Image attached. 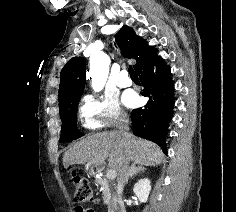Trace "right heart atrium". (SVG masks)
I'll return each mask as SVG.
<instances>
[{
  "label": "right heart atrium",
  "instance_id": "1",
  "mask_svg": "<svg viewBox=\"0 0 236 212\" xmlns=\"http://www.w3.org/2000/svg\"><path fill=\"white\" fill-rule=\"evenodd\" d=\"M79 117L86 129H103L117 126L127 115L114 96H85L79 105Z\"/></svg>",
  "mask_w": 236,
  "mask_h": 212
}]
</instances>
